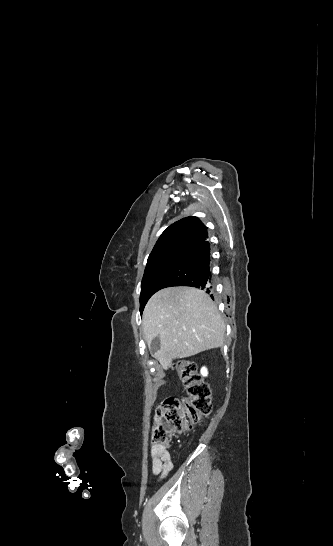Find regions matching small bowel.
Listing matches in <instances>:
<instances>
[{
  "label": "small bowel",
  "instance_id": "1",
  "mask_svg": "<svg viewBox=\"0 0 333 546\" xmlns=\"http://www.w3.org/2000/svg\"><path fill=\"white\" fill-rule=\"evenodd\" d=\"M151 474L158 480L165 478L172 470L170 454L166 447L153 444L150 449Z\"/></svg>",
  "mask_w": 333,
  "mask_h": 546
}]
</instances>
